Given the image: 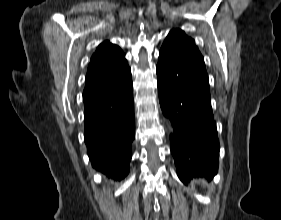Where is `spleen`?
Listing matches in <instances>:
<instances>
[{
    "label": "spleen",
    "instance_id": "1",
    "mask_svg": "<svg viewBox=\"0 0 281 220\" xmlns=\"http://www.w3.org/2000/svg\"><path fill=\"white\" fill-rule=\"evenodd\" d=\"M198 182H201L203 186H207V183L204 180H197Z\"/></svg>",
    "mask_w": 281,
    "mask_h": 220
}]
</instances>
